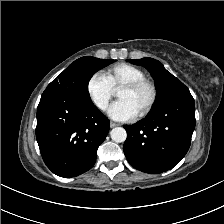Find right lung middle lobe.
Wrapping results in <instances>:
<instances>
[{"instance_id":"obj_1","label":"right lung middle lobe","mask_w":224,"mask_h":224,"mask_svg":"<svg viewBox=\"0 0 224 224\" xmlns=\"http://www.w3.org/2000/svg\"><path fill=\"white\" fill-rule=\"evenodd\" d=\"M115 61L113 59H98L91 56L79 58L70 64L46 89H55L90 99L88 92L89 80L98 70Z\"/></svg>"}]
</instances>
